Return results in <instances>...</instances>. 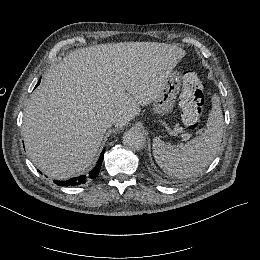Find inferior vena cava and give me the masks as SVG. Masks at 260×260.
Wrapping results in <instances>:
<instances>
[{"label": "inferior vena cava", "mask_w": 260, "mask_h": 260, "mask_svg": "<svg viewBox=\"0 0 260 260\" xmlns=\"http://www.w3.org/2000/svg\"><path fill=\"white\" fill-rule=\"evenodd\" d=\"M115 122L116 119L114 117H110L109 119H107V124L109 127L112 126Z\"/></svg>", "instance_id": "1"}]
</instances>
